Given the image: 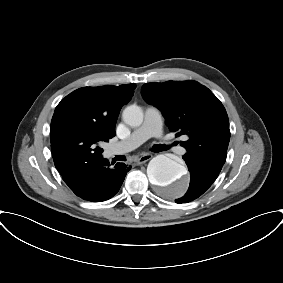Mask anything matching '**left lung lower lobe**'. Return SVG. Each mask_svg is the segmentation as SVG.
<instances>
[{"label":"left lung lower lobe","mask_w":283,"mask_h":283,"mask_svg":"<svg viewBox=\"0 0 283 283\" xmlns=\"http://www.w3.org/2000/svg\"><path fill=\"white\" fill-rule=\"evenodd\" d=\"M190 171V185L187 193L175 202L183 203L190 202L202 195L216 180L219 173L207 171L190 159H185Z\"/></svg>","instance_id":"0a47b994"}]
</instances>
